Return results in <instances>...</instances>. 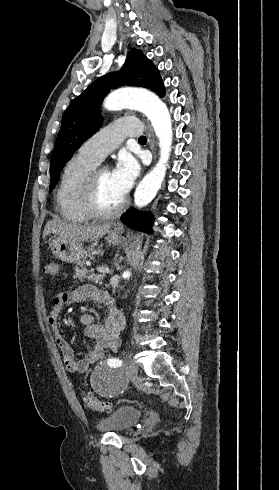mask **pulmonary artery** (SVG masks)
Returning a JSON list of instances; mask_svg holds the SVG:
<instances>
[{
  "instance_id": "pulmonary-artery-1",
  "label": "pulmonary artery",
  "mask_w": 279,
  "mask_h": 490,
  "mask_svg": "<svg viewBox=\"0 0 279 490\" xmlns=\"http://www.w3.org/2000/svg\"><path fill=\"white\" fill-rule=\"evenodd\" d=\"M144 128L139 122L138 117H120L118 122H110L93 135H91L79 148L81 155L99 164L110 152L115 150L123 137L134 136L140 137L138 133Z\"/></svg>"
}]
</instances>
